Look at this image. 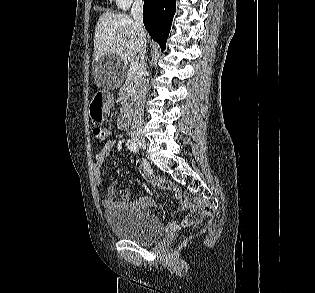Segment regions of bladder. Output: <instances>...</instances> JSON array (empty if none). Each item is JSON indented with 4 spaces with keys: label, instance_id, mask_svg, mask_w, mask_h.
Listing matches in <instances>:
<instances>
[{
    "label": "bladder",
    "instance_id": "1",
    "mask_svg": "<svg viewBox=\"0 0 315 293\" xmlns=\"http://www.w3.org/2000/svg\"><path fill=\"white\" fill-rule=\"evenodd\" d=\"M104 215L114 235L139 244L155 242L163 233L155 218L127 204L113 206Z\"/></svg>",
    "mask_w": 315,
    "mask_h": 293
}]
</instances>
